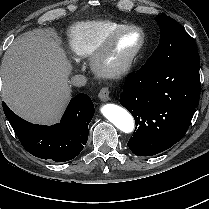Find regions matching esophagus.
<instances>
[{
    "instance_id": "1",
    "label": "esophagus",
    "mask_w": 209,
    "mask_h": 209,
    "mask_svg": "<svg viewBox=\"0 0 209 209\" xmlns=\"http://www.w3.org/2000/svg\"><path fill=\"white\" fill-rule=\"evenodd\" d=\"M98 97L101 101L103 102H106V101H109L110 99V91L107 87H103L99 94H98Z\"/></svg>"
}]
</instances>
